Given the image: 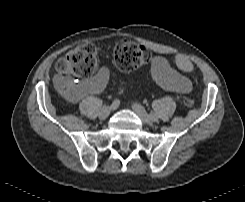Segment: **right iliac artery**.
Listing matches in <instances>:
<instances>
[{
	"label": "right iliac artery",
	"mask_w": 245,
	"mask_h": 202,
	"mask_svg": "<svg viewBox=\"0 0 245 202\" xmlns=\"http://www.w3.org/2000/svg\"><path fill=\"white\" fill-rule=\"evenodd\" d=\"M120 104V101L118 99H115L113 102H112V107H113V110L116 109Z\"/></svg>",
	"instance_id": "obj_1"
}]
</instances>
